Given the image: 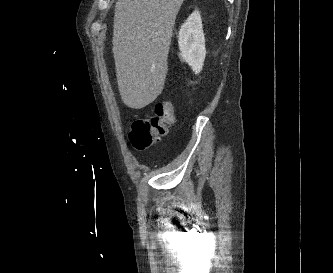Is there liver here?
Segmentation results:
<instances>
[{
	"label": "liver",
	"instance_id": "obj_1",
	"mask_svg": "<svg viewBox=\"0 0 333 273\" xmlns=\"http://www.w3.org/2000/svg\"><path fill=\"white\" fill-rule=\"evenodd\" d=\"M184 0H118L113 54L125 105L142 109L162 92L176 16Z\"/></svg>",
	"mask_w": 333,
	"mask_h": 273
}]
</instances>
